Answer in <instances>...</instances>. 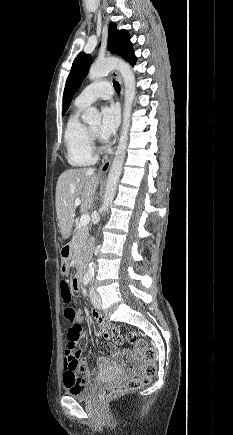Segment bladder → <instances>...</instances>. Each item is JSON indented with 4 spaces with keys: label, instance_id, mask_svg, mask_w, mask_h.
Wrapping results in <instances>:
<instances>
[{
    "label": "bladder",
    "instance_id": "1",
    "mask_svg": "<svg viewBox=\"0 0 233 435\" xmlns=\"http://www.w3.org/2000/svg\"><path fill=\"white\" fill-rule=\"evenodd\" d=\"M99 387L100 383L98 381L89 382L76 391L68 392V395L80 401H87L96 394Z\"/></svg>",
    "mask_w": 233,
    "mask_h": 435
}]
</instances>
